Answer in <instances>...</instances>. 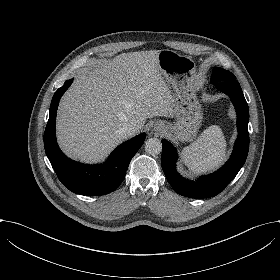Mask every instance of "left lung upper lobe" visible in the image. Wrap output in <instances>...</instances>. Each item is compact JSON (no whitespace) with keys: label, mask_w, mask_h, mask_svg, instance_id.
<instances>
[{"label":"left lung upper lobe","mask_w":280,"mask_h":280,"mask_svg":"<svg viewBox=\"0 0 280 280\" xmlns=\"http://www.w3.org/2000/svg\"><path fill=\"white\" fill-rule=\"evenodd\" d=\"M225 81H237L236 77L223 68H214L212 72L211 83L217 84Z\"/></svg>","instance_id":"5c2ea615"}]
</instances>
